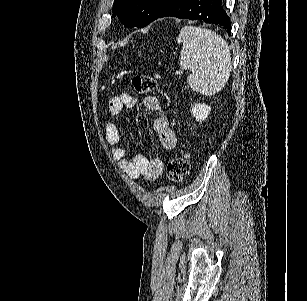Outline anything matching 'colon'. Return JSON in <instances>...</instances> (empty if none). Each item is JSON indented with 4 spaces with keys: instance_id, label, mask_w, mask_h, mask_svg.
I'll list each match as a JSON object with an SVG mask.
<instances>
[{
    "instance_id": "obj_1",
    "label": "colon",
    "mask_w": 307,
    "mask_h": 301,
    "mask_svg": "<svg viewBox=\"0 0 307 301\" xmlns=\"http://www.w3.org/2000/svg\"><path fill=\"white\" fill-rule=\"evenodd\" d=\"M132 84L138 94H147L157 88V80L154 76L148 74H138L133 77ZM190 156L183 153L171 159L167 165V174L170 180L181 182L189 173Z\"/></svg>"
}]
</instances>
